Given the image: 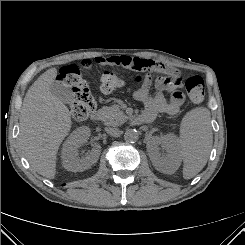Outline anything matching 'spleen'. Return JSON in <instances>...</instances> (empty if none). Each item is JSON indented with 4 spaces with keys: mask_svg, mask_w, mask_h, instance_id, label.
<instances>
[{
    "mask_svg": "<svg viewBox=\"0 0 245 245\" xmlns=\"http://www.w3.org/2000/svg\"><path fill=\"white\" fill-rule=\"evenodd\" d=\"M212 141L209 110L198 107L189 111L182 119L179 140L185 179L193 178L206 165Z\"/></svg>",
    "mask_w": 245,
    "mask_h": 245,
    "instance_id": "obj_1",
    "label": "spleen"
}]
</instances>
